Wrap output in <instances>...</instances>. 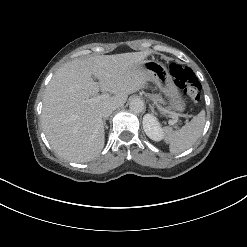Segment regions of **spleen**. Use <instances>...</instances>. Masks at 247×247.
<instances>
[{
	"instance_id": "spleen-1",
	"label": "spleen",
	"mask_w": 247,
	"mask_h": 247,
	"mask_svg": "<svg viewBox=\"0 0 247 247\" xmlns=\"http://www.w3.org/2000/svg\"><path fill=\"white\" fill-rule=\"evenodd\" d=\"M205 125V111L186 123L180 130L174 131L171 127L164 129V139L169 144L170 152L181 153L190 148L201 136Z\"/></svg>"
}]
</instances>
